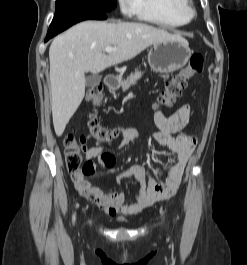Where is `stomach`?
Masks as SVG:
<instances>
[{
	"label": "stomach",
	"instance_id": "stomach-1",
	"mask_svg": "<svg viewBox=\"0 0 247 265\" xmlns=\"http://www.w3.org/2000/svg\"><path fill=\"white\" fill-rule=\"evenodd\" d=\"M191 56L185 39L167 40L156 43L148 54L151 69L158 73H172L184 67Z\"/></svg>",
	"mask_w": 247,
	"mask_h": 265
}]
</instances>
